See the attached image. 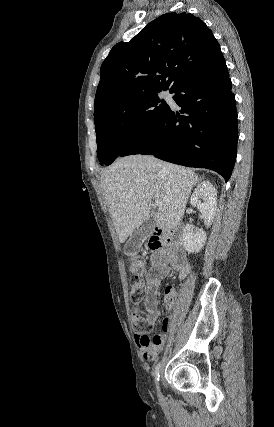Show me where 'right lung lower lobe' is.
<instances>
[{
	"label": "right lung lower lobe",
	"mask_w": 274,
	"mask_h": 427,
	"mask_svg": "<svg viewBox=\"0 0 274 427\" xmlns=\"http://www.w3.org/2000/svg\"><path fill=\"white\" fill-rule=\"evenodd\" d=\"M226 64L182 84L170 108L144 137L119 156L152 154L188 167L207 168L228 181L237 153V111Z\"/></svg>",
	"instance_id": "1"
}]
</instances>
